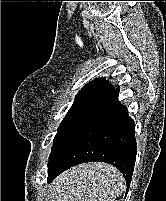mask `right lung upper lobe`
I'll list each match as a JSON object with an SVG mask.
<instances>
[{
    "mask_svg": "<svg viewBox=\"0 0 166 201\" xmlns=\"http://www.w3.org/2000/svg\"><path fill=\"white\" fill-rule=\"evenodd\" d=\"M113 90L114 87L110 83L104 78H99L86 84L76 95V100L91 97H107Z\"/></svg>",
    "mask_w": 166,
    "mask_h": 201,
    "instance_id": "right-lung-upper-lobe-1",
    "label": "right lung upper lobe"
}]
</instances>
